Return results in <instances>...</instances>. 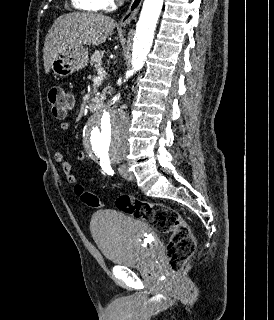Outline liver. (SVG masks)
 Returning <instances> with one entry per match:
<instances>
[{"label":"liver","instance_id":"liver-1","mask_svg":"<svg viewBox=\"0 0 274 320\" xmlns=\"http://www.w3.org/2000/svg\"><path fill=\"white\" fill-rule=\"evenodd\" d=\"M115 20L103 14L76 12L64 14L55 20L43 48L45 74H49L54 58L66 48L99 46L104 44L115 28Z\"/></svg>","mask_w":274,"mask_h":320}]
</instances>
